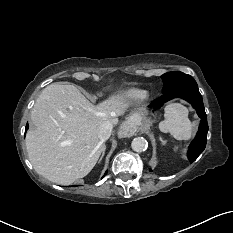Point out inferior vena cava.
I'll return each instance as SVG.
<instances>
[{"instance_id":"1","label":"inferior vena cava","mask_w":233,"mask_h":233,"mask_svg":"<svg viewBox=\"0 0 233 233\" xmlns=\"http://www.w3.org/2000/svg\"><path fill=\"white\" fill-rule=\"evenodd\" d=\"M112 132V124L110 122H106L99 130L98 137L102 142H105L109 139Z\"/></svg>"}]
</instances>
